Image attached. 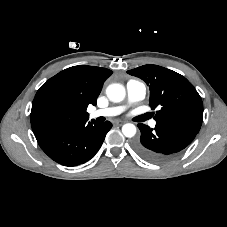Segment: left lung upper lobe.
Instances as JSON below:
<instances>
[{
    "label": "left lung upper lobe",
    "mask_w": 227,
    "mask_h": 227,
    "mask_svg": "<svg viewBox=\"0 0 227 227\" xmlns=\"http://www.w3.org/2000/svg\"><path fill=\"white\" fill-rule=\"evenodd\" d=\"M127 72L149 86V104L152 109L159 107L154 116L156 123L178 125L199 132L203 121V103L184 76L151 64Z\"/></svg>",
    "instance_id": "obj_1"
}]
</instances>
